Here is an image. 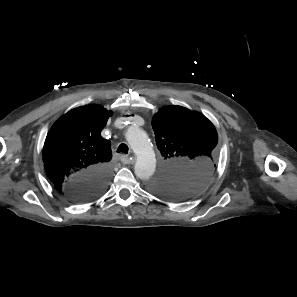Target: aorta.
I'll return each instance as SVG.
<instances>
[{
  "label": "aorta",
  "mask_w": 297,
  "mask_h": 297,
  "mask_svg": "<svg viewBox=\"0 0 297 297\" xmlns=\"http://www.w3.org/2000/svg\"><path fill=\"white\" fill-rule=\"evenodd\" d=\"M126 140L136 156L135 175L149 180L155 172L156 158L147 134L139 127H131L126 133Z\"/></svg>",
  "instance_id": "762f6f07"
}]
</instances>
